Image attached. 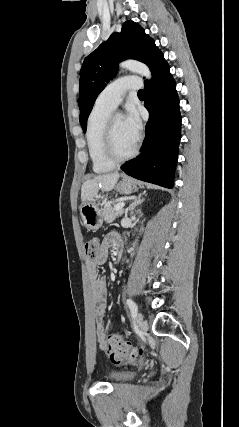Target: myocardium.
I'll return each mask as SVG.
<instances>
[{
	"instance_id": "obj_1",
	"label": "myocardium",
	"mask_w": 239,
	"mask_h": 427,
	"mask_svg": "<svg viewBox=\"0 0 239 427\" xmlns=\"http://www.w3.org/2000/svg\"><path fill=\"white\" fill-rule=\"evenodd\" d=\"M119 115L114 114L110 115L108 118L105 129H104V135H103V154L104 157L111 162L112 164H120L125 161H128L129 159L133 158L137 151H138V141H136L133 149L125 154V155H118L116 153L115 147H114V138H113V123L116 117Z\"/></svg>"
}]
</instances>
